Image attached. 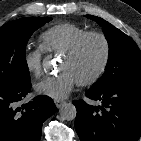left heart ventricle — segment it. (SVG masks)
Instances as JSON below:
<instances>
[{
	"label": "left heart ventricle",
	"instance_id": "obj_1",
	"mask_svg": "<svg viewBox=\"0 0 141 141\" xmlns=\"http://www.w3.org/2000/svg\"><path fill=\"white\" fill-rule=\"evenodd\" d=\"M104 53L102 42L90 38L74 58L64 56L59 66L61 72H70L77 81L89 77L99 66Z\"/></svg>",
	"mask_w": 141,
	"mask_h": 141
}]
</instances>
